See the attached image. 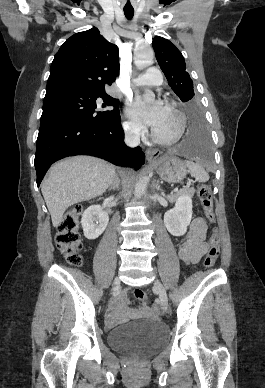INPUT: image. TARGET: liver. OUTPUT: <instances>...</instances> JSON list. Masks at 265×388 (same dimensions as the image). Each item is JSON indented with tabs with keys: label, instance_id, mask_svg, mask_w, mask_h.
I'll list each match as a JSON object with an SVG mask.
<instances>
[{
	"label": "liver",
	"instance_id": "liver-1",
	"mask_svg": "<svg viewBox=\"0 0 265 388\" xmlns=\"http://www.w3.org/2000/svg\"><path fill=\"white\" fill-rule=\"evenodd\" d=\"M115 174L112 164L90 156L66 158L51 166L41 184V192L54 228L60 226L69 206L104 194L112 186Z\"/></svg>",
	"mask_w": 265,
	"mask_h": 388
}]
</instances>
